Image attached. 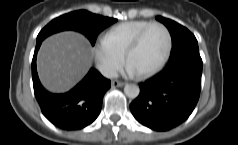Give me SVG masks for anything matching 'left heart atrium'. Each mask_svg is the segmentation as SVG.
<instances>
[{"mask_svg":"<svg viewBox=\"0 0 238 145\" xmlns=\"http://www.w3.org/2000/svg\"><path fill=\"white\" fill-rule=\"evenodd\" d=\"M123 73L125 75H128V76H135V75L139 74L136 71V69L128 62L125 64V67L123 69Z\"/></svg>","mask_w":238,"mask_h":145,"instance_id":"1","label":"left heart atrium"}]
</instances>
